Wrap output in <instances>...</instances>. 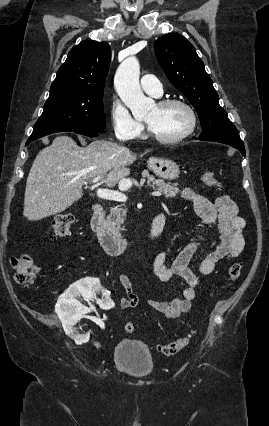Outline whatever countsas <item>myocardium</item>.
Here are the masks:
<instances>
[{"mask_svg": "<svg viewBox=\"0 0 269 426\" xmlns=\"http://www.w3.org/2000/svg\"><path fill=\"white\" fill-rule=\"evenodd\" d=\"M157 105L159 107H167V106H171V105H180L182 107H184L189 115H190V125L187 128L186 131H184L182 134L173 137V138H163L160 137L158 135H156L154 132H152V130L149 128V126H147V133L150 139L161 143V144H178L182 141H184L185 139H187L188 137H190L196 130L197 125H198V116L197 113L195 111V109L192 107L191 104H189L187 101L179 99V98H167L164 100H161L157 103Z\"/></svg>", "mask_w": 269, "mask_h": 426, "instance_id": "f54148a6", "label": "myocardium"}]
</instances>
